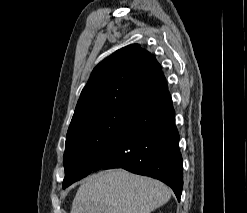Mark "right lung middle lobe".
<instances>
[{"label":"right lung middle lobe","mask_w":247,"mask_h":213,"mask_svg":"<svg viewBox=\"0 0 247 213\" xmlns=\"http://www.w3.org/2000/svg\"><path fill=\"white\" fill-rule=\"evenodd\" d=\"M130 105L131 101L116 104L68 130L63 188L93 171L99 153L114 140L128 118Z\"/></svg>","instance_id":"obj_1"}]
</instances>
